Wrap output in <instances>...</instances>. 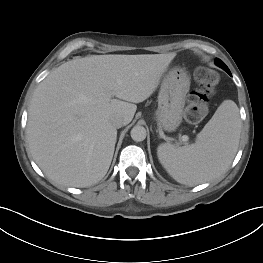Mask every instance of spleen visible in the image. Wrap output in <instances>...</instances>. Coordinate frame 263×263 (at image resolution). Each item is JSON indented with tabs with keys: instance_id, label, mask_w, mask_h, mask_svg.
<instances>
[{
	"instance_id": "1",
	"label": "spleen",
	"mask_w": 263,
	"mask_h": 263,
	"mask_svg": "<svg viewBox=\"0 0 263 263\" xmlns=\"http://www.w3.org/2000/svg\"><path fill=\"white\" fill-rule=\"evenodd\" d=\"M241 132L239 109L225 100L191 145L162 143L157 148L160 163L177 182L197 185L222 174L238 149Z\"/></svg>"
}]
</instances>
